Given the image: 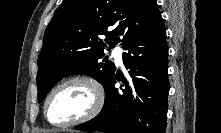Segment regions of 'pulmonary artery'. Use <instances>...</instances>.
Returning <instances> with one entry per match:
<instances>
[{
  "label": "pulmonary artery",
  "mask_w": 221,
  "mask_h": 133,
  "mask_svg": "<svg viewBox=\"0 0 221 133\" xmlns=\"http://www.w3.org/2000/svg\"><path fill=\"white\" fill-rule=\"evenodd\" d=\"M112 55L118 65L123 63V49L119 46L115 47L112 51Z\"/></svg>",
  "instance_id": "1"
}]
</instances>
